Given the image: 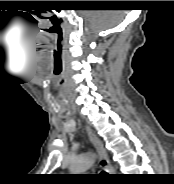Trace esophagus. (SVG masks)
Returning a JSON list of instances; mask_svg holds the SVG:
<instances>
[{"label":"esophagus","mask_w":174,"mask_h":184,"mask_svg":"<svg viewBox=\"0 0 174 184\" xmlns=\"http://www.w3.org/2000/svg\"><path fill=\"white\" fill-rule=\"evenodd\" d=\"M87 132H88V135L90 137L91 142L93 143V145L95 146V148L98 152L100 167L109 173L112 172L113 169H112L111 164L109 162L108 155H107V152L104 148L103 143L95 134H93V132L91 131V129L89 127H87Z\"/></svg>","instance_id":"obj_1"}]
</instances>
